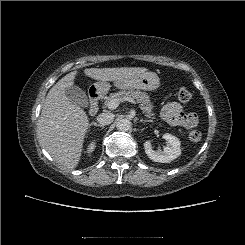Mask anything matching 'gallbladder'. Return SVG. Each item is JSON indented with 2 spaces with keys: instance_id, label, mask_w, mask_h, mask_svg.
I'll list each match as a JSON object with an SVG mask.
<instances>
[{
  "instance_id": "obj_1",
  "label": "gallbladder",
  "mask_w": 245,
  "mask_h": 245,
  "mask_svg": "<svg viewBox=\"0 0 245 245\" xmlns=\"http://www.w3.org/2000/svg\"><path fill=\"white\" fill-rule=\"evenodd\" d=\"M67 98L80 107L87 108L89 106L86 93L78 86H70L65 89Z\"/></svg>"
}]
</instances>
